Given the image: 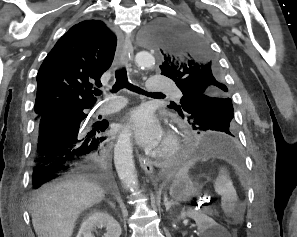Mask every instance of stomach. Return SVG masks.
Here are the masks:
<instances>
[{"label":"stomach","instance_id":"0dacf381","mask_svg":"<svg viewBox=\"0 0 297 237\" xmlns=\"http://www.w3.org/2000/svg\"><path fill=\"white\" fill-rule=\"evenodd\" d=\"M200 188L188 175L176 176L170 185L169 194L175 202H185L198 195Z\"/></svg>","mask_w":297,"mask_h":237}]
</instances>
